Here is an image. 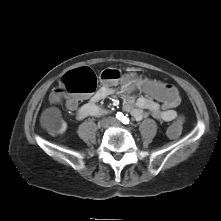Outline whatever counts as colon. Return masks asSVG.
I'll use <instances>...</instances> for the list:
<instances>
[{
	"label": "colon",
	"mask_w": 221,
	"mask_h": 221,
	"mask_svg": "<svg viewBox=\"0 0 221 221\" xmlns=\"http://www.w3.org/2000/svg\"><path fill=\"white\" fill-rule=\"evenodd\" d=\"M120 77L121 74L116 69H105L100 74V79L106 83L116 82ZM97 83L98 79L94 71L88 67H81L64 75L52 98L54 101H59L61 96L64 95L68 102L77 98L78 95L95 92ZM129 85L135 93L146 95L151 100L159 101L167 108H174L180 102V90L172 83H163L156 76L137 72L130 77ZM187 124L188 119L186 116H177L175 123L167 127V136L170 138L179 136L181 128L186 127Z\"/></svg>",
	"instance_id": "obj_1"
}]
</instances>
